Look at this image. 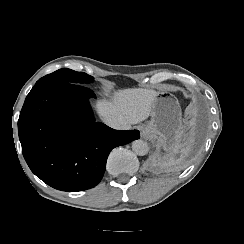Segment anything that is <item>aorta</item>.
<instances>
[{"label":"aorta","instance_id":"762f6f07","mask_svg":"<svg viewBox=\"0 0 244 244\" xmlns=\"http://www.w3.org/2000/svg\"><path fill=\"white\" fill-rule=\"evenodd\" d=\"M132 150L135 154L144 156L148 153L149 147L145 141L139 139L132 142Z\"/></svg>","mask_w":244,"mask_h":244}]
</instances>
